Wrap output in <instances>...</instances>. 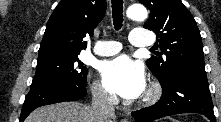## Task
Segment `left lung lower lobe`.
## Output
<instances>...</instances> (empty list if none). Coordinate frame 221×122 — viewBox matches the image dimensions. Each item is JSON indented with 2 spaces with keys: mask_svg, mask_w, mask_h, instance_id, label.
Masks as SVG:
<instances>
[{
  "mask_svg": "<svg viewBox=\"0 0 221 122\" xmlns=\"http://www.w3.org/2000/svg\"><path fill=\"white\" fill-rule=\"evenodd\" d=\"M161 86L163 95L159 102L132 113L137 122H150L180 113H199L216 122L205 74H179Z\"/></svg>",
  "mask_w": 221,
  "mask_h": 122,
  "instance_id": "obj_1",
  "label": "left lung lower lobe"
}]
</instances>
